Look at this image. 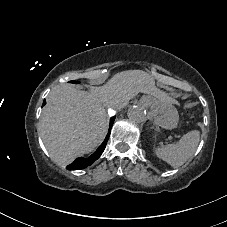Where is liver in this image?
I'll return each instance as SVG.
<instances>
[{
    "label": "liver",
    "instance_id": "obj_1",
    "mask_svg": "<svg viewBox=\"0 0 227 227\" xmlns=\"http://www.w3.org/2000/svg\"><path fill=\"white\" fill-rule=\"evenodd\" d=\"M154 91V80L141 70L117 73L105 85L92 87L91 92L68 83L53 87L39 122L51 159L64 164L92 152L108 129L105 107H113L112 100H129L139 92Z\"/></svg>",
    "mask_w": 227,
    "mask_h": 227
}]
</instances>
